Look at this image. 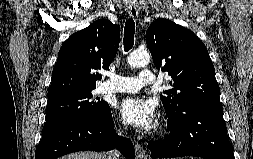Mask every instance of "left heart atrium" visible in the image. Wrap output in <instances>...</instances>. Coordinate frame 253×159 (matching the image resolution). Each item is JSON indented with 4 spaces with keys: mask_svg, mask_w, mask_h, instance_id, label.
I'll use <instances>...</instances> for the list:
<instances>
[{
    "mask_svg": "<svg viewBox=\"0 0 253 159\" xmlns=\"http://www.w3.org/2000/svg\"><path fill=\"white\" fill-rule=\"evenodd\" d=\"M118 112L125 123L143 131L150 130L155 121V104L143 97L131 96L118 105Z\"/></svg>",
    "mask_w": 253,
    "mask_h": 159,
    "instance_id": "left-heart-atrium-1",
    "label": "left heart atrium"
}]
</instances>
